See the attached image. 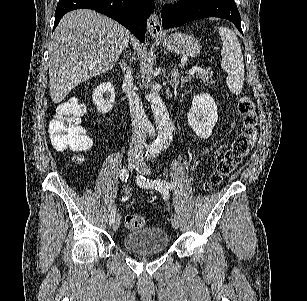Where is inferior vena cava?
Segmentation results:
<instances>
[{"label":"inferior vena cava","instance_id":"obj_1","mask_svg":"<svg viewBox=\"0 0 307 301\" xmlns=\"http://www.w3.org/2000/svg\"><path fill=\"white\" fill-rule=\"evenodd\" d=\"M133 82L134 76L132 68L127 66L124 76V84L127 88V100L130 108L132 124V136L128 151L129 157L141 155L148 134L147 114L143 108L142 100L134 88Z\"/></svg>","mask_w":307,"mask_h":301}]
</instances>
